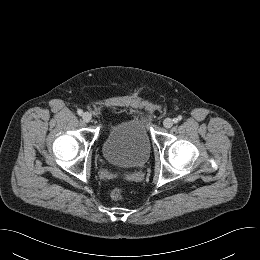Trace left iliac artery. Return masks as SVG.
Here are the masks:
<instances>
[{
	"mask_svg": "<svg viewBox=\"0 0 260 260\" xmlns=\"http://www.w3.org/2000/svg\"><path fill=\"white\" fill-rule=\"evenodd\" d=\"M182 119V116H178L177 118L173 119L174 123H178Z\"/></svg>",
	"mask_w": 260,
	"mask_h": 260,
	"instance_id": "obj_1",
	"label": "left iliac artery"
}]
</instances>
